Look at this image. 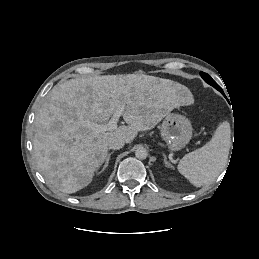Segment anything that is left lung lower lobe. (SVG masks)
Masks as SVG:
<instances>
[{
	"instance_id": "1",
	"label": "left lung lower lobe",
	"mask_w": 259,
	"mask_h": 259,
	"mask_svg": "<svg viewBox=\"0 0 259 259\" xmlns=\"http://www.w3.org/2000/svg\"><path fill=\"white\" fill-rule=\"evenodd\" d=\"M220 92L224 95L223 91L220 89Z\"/></svg>"
}]
</instances>
